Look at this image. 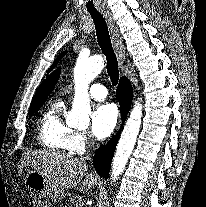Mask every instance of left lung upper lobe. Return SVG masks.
<instances>
[{
	"mask_svg": "<svg viewBox=\"0 0 206 207\" xmlns=\"http://www.w3.org/2000/svg\"><path fill=\"white\" fill-rule=\"evenodd\" d=\"M66 54V51L65 52H62L56 59V61L54 62V64L50 67V70L53 69L55 67V65L58 63V61ZM49 70V71H50Z\"/></svg>",
	"mask_w": 206,
	"mask_h": 207,
	"instance_id": "1",
	"label": "left lung upper lobe"
}]
</instances>
